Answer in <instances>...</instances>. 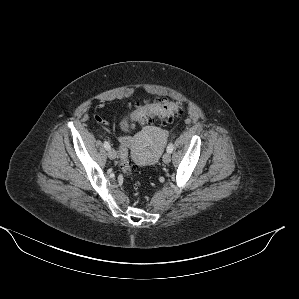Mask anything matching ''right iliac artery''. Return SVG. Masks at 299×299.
<instances>
[{"label":"right iliac artery","mask_w":299,"mask_h":299,"mask_svg":"<svg viewBox=\"0 0 299 299\" xmlns=\"http://www.w3.org/2000/svg\"><path fill=\"white\" fill-rule=\"evenodd\" d=\"M104 147H105L106 150H109L110 149V144L107 141H105L104 142Z\"/></svg>","instance_id":"right-iliac-artery-1"}]
</instances>
